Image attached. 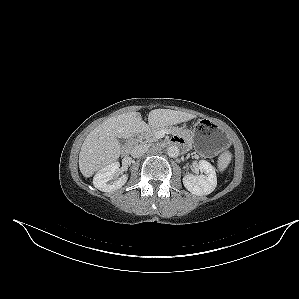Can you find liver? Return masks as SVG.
<instances>
[{"instance_id":"liver-1","label":"liver","mask_w":299,"mask_h":299,"mask_svg":"<svg viewBox=\"0 0 299 299\" xmlns=\"http://www.w3.org/2000/svg\"><path fill=\"white\" fill-rule=\"evenodd\" d=\"M195 117V114L170 109L152 110L148 115V124L135 111L110 117L85 138L79 154L80 172L84 177H91L99 169L115 162L121 154L118 138H130L136 133L145 132L149 127L162 128Z\"/></svg>"}]
</instances>
